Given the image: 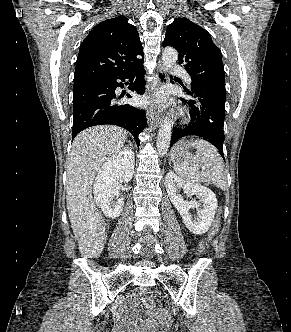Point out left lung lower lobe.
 I'll list each match as a JSON object with an SVG mask.
<instances>
[{
  "mask_svg": "<svg viewBox=\"0 0 291 332\" xmlns=\"http://www.w3.org/2000/svg\"><path fill=\"white\" fill-rule=\"evenodd\" d=\"M185 90L191 99L182 101L192 109L191 123L184 128L174 127L170 146L181 137L195 135L214 145L224 159L225 84L195 80L191 85V91L186 88Z\"/></svg>",
  "mask_w": 291,
  "mask_h": 332,
  "instance_id": "0a47b994",
  "label": "left lung lower lobe"
}]
</instances>
